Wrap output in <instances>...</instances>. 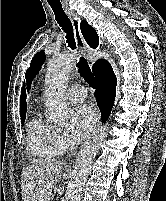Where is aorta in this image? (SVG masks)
<instances>
[{
  "mask_svg": "<svg viewBox=\"0 0 166 201\" xmlns=\"http://www.w3.org/2000/svg\"><path fill=\"white\" fill-rule=\"evenodd\" d=\"M76 59L74 53L67 52L49 61L45 77L46 108L50 119L55 123H66L68 119L65 90ZM107 129V126H104L91 136L78 153L72 178L65 193V201H80L91 164L107 136Z\"/></svg>",
  "mask_w": 166,
  "mask_h": 201,
  "instance_id": "1",
  "label": "aorta"
}]
</instances>
